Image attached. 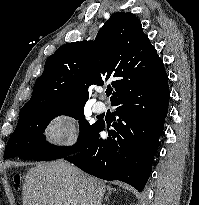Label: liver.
Masks as SVG:
<instances>
[{
  "label": "liver",
  "instance_id": "1",
  "mask_svg": "<svg viewBox=\"0 0 199 205\" xmlns=\"http://www.w3.org/2000/svg\"><path fill=\"white\" fill-rule=\"evenodd\" d=\"M106 188L66 162L39 163L24 178L23 205H101Z\"/></svg>",
  "mask_w": 199,
  "mask_h": 205
}]
</instances>
